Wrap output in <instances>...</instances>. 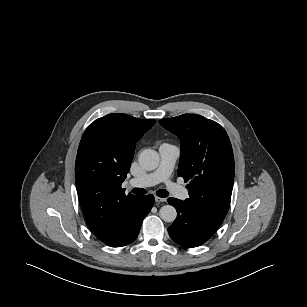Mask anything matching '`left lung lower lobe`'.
<instances>
[{
	"instance_id": "0a47b994",
	"label": "left lung lower lobe",
	"mask_w": 307,
	"mask_h": 307,
	"mask_svg": "<svg viewBox=\"0 0 307 307\" xmlns=\"http://www.w3.org/2000/svg\"><path fill=\"white\" fill-rule=\"evenodd\" d=\"M167 201L177 210V218L168 228L171 239L177 244L188 248L200 246L218 229L196 217L183 201L176 198Z\"/></svg>"
}]
</instances>
